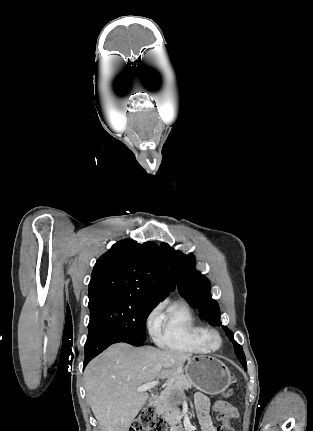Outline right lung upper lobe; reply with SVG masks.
Returning a JSON list of instances; mask_svg holds the SVG:
<instances>
[{"mask_svg": "<svg viewBox=\"0 0 313 431\" xmlns=\"http://www.w3.org/2000/svg\"><path fill=\"white\" fill-rule=\"evenodd\" d=\"M161 248L124 239L96 262L89 297L107 291H125L160 302L174 289Z\"/></svg>", "mask_w": 313, "mask_h": 431, "instance_id": "obj_1", "label": "right lung upper lobe"}]
</instances>
